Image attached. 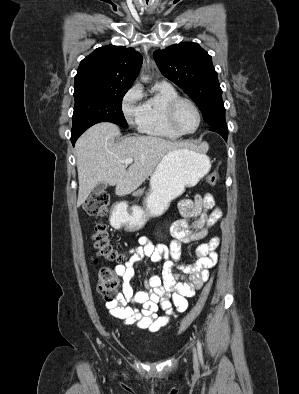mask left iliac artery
I'll use <instances>...</instances> for the list:
<instances>
[{
    "label": "left iliac artery",
    "mask_w": 299,
    "mask_h": 394,
    "mask_svg": "<svg viewBox=\"0 0 299 394\" xmlns=\"http://www.w3.org/2000/svg\"><path fill=\"white\" fill-rule=\"evenodd\" d=\"M197 348H198V354H199L200 361L203 364L202 345H201L200 341L197 342Z\"/></svg>",
    "instance_id": "1"
}]
</instances>
